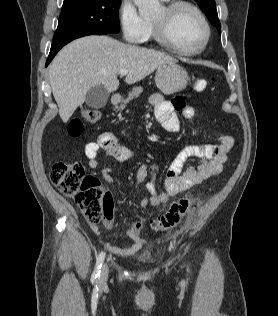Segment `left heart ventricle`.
Returning <instances> with one entry per match:
<instances>
[{
	"mask_svg": "<svg viewBox=\"0 0 278 316\" xmlns=\"http://www.w3.org/2000/svg\"><path fill=\"white\" fill-rule=\"evenodd\" d=\"M164 17L163 8L153 20ZM170 30L177 42L186 50H194L201 46L205 38V28L196 13L188 7H182L174 13L170 20Z\"/></svg>",
	"mask_w": 278,
	"mask_h": 316,
	"instance_id": "b2bd125f",
	"label": "left heart ventricle"
}]
</instances>
